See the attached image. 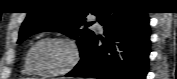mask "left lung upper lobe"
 I'll return each instance as SVG.
<instances>
[{"mask_svg": "<svg viewBox=\"0 0 177 79\" xmlns=\"http://www.w3.org/2000/svg\"><path fill=\"white\" fill-rule=\"evenodd\" d=\"M36 9L29 12L23 22L18 43H21L32 34L42 31H58L76 39L81 56L88 48L89 43L94 38V33L87 29L92 24L86 23L87 10H92L98 19L104 8L118 1L113 0H82V1H62V0H42L38 1ZM73 2V3H68ZM68 4H75L78 7L72 10L66 9ZM85 28H82V27Z\"/></svg>", "mask_w": 177, "mask_h": 79, "instance_id": "1", "label": "left lung upper lobe"}]
</instances>
